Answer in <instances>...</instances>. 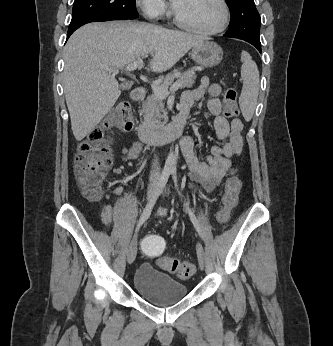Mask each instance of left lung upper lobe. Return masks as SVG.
Segmentation results:
<instances>
[{"label":"left lung upper lobe","mask_w":333,"mask_h":346,"mask_svg":"<svg viewBox=\"0 0 333 346\" xmlns=\"http://www.w3.org/2000/svg\"><path fill=\"white\" fill-rule=\"evenodd\" d=\"M231 11V26L227 34L260 42L261 18L254 0H226Z\"/></svg>","instance_id":"left-lung-upper-lobe-1"}]
</instances>
